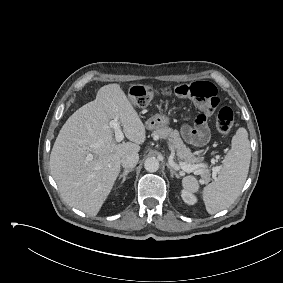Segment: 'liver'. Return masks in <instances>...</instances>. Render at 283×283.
Wrapping results in <instances>:
<instances>
[{
  "mask_svg": "<svg viewBox=\"0 0 283 283\" xmlns=\"http://www.w3.org/2000/svg\"><path fill=\"white\" fill-rule=\"evenodd\" d=\"M115 118L129 142L114 140L109 120ZM145 140V125L120 85L101 87L94 101L68 118L52 148L51 174L63 200L96 216L120 173L121 159L138 153Z\"/></svg>",
  "mask_w": 283,
  "mask_h": 283,
  "instance_id": "obj_1",
  "label": "liver"
}]
</instances>
